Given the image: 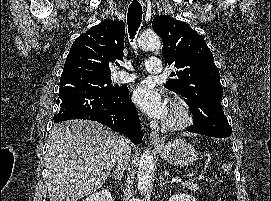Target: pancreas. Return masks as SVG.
I'll return each instance as SVG.
<instances>
[{
	"label": "pancreas",
	"mask_w": 271,
	"mask_h": 201,
	"mask_svg": "<svg viewBox=\"0 0 271 201\" xmlns=\"http://www.w3.org/2000/svg\"><path fill=\"white\" fill-rule=\"evenodd\" d=\"M181 185H183V187H186V188H188L189 190H191L193 192L199 190V187L194 182L185 181V182H182Z\"/></svg>",
	"instance_id": "1"
}]
</instances>
